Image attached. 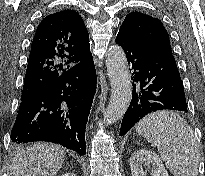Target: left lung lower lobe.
<instances>
[{
    "mask_svg": "<svg viewBox=\"0 0 205 176\" xmlns=\"http://www.w3.org/2000/svg\"><path fill=\"white\" fill-rule=\"evenodd\" d=\"M116 43L127 57L132 70V100L120 128L127 133L141 118L157 110H179L187 113L183 83L173 55L157 52L118 32Z\"/></svg>",
    "mask_w": 205,
    "mask_h": 176,
    "instance_id": "obj_1",
    "label": "left lung lower lobe"
}]
</instances>
